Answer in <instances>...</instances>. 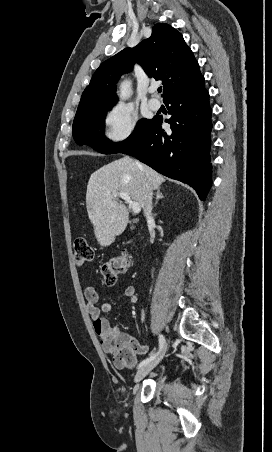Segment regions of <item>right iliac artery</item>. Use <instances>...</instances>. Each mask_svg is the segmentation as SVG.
Instances as JSON below:
<instances>
[{
  "label": "right iliac artery",
  "instance_id": "1",
  "mask_svg": "<svg viewBox=\"0 0 272 452\" xmlns=\"http://www.w3.org/2000/svg\"><path fill=\"white\" fill-rule=\"evenodd\" d=\"M165 338L163 335H159V351L156 354L151 355L150 357L146 358L140 364L138 365V368L142 367L143 365L149 363L150 361L154 360L156 356L160 353L162 348L164 347Z\"/></svg>",
  "mask_w": 272,
  "mask_h": 452
}]
</instances>
